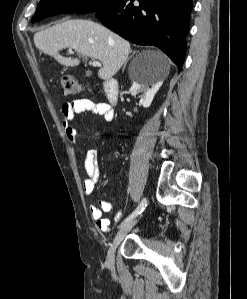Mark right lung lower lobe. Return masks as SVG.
I'll use <instances>...</instances> for the list:
<instances>
[{
	"label": "right lung lower lobe",
	"mask_w": 247,
	"mask_h": 299,
	"mask_svg": "<svg viewBox=\"0 0 247 299\" xmlns=\"http://www.w3.org/2000/svg\"><path fill=\"white\" fill-rule=\"evenodd\" d=\"M120 0L97 11L96 17L130 42L154 45L177 65L186 52L192 0Z\"/></svg>",
	"instance_id": "right-lung-lower-lobe-1"
}]
</instances>
